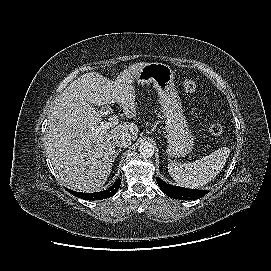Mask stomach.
Listing matches in <instances>:
<instances>
[{"instance_id": "0dacf381", "label": "stomach", "mask_w": 271, "mask_h": 271, "mask_svg": "<svg viewBox=\"0 0 271 271\" xmlns=\"http://www.w3.org/2000/svg\"><path fill=\"white\" fill-rule=\"evenodd\" d=\"M174 71L163 63H147L137 74L138 85L153 83L165 119L166 153L169 157H184L194 148V136L184 115L180 97L174 84Z\"/></svg>"}]
</instances>
